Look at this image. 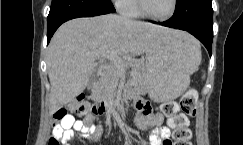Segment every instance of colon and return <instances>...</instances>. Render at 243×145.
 I'll list each match as a JSON object with an SVG mask.
<instances>
[{"mask_svg": "<svg viewBox=\"0 0 243 145\" xmlns=\"http://www.w3.org/2000/svg\"><path fill=\"white\" fill-rule=\"evenodd\" d=\"M181 110V112H179ZM197 110V92L193 89L188 90L180 100V104L169 101L161 106L162 113L168 118V124L173 129V142L169 141L168 145H191V130L189 129V118L193 117ZM83 116L86 113V106L81 99L69 102L67 105L58 109L54 118L60 122L70 115ZM48 145H61V141L51 133Z\"/></svg>", "mask_w": 243, "mask_h": 145, "instance_id": "colon-1", "label": "colon"}]
</instances>
